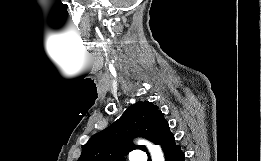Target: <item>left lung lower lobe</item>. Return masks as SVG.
I'll use <instances>...</instances> for the list:
<instances>
[{
    "label": "left lung lower lobe",
    "instance_id": "left-lung-lower-lobe-1",
    "mask_svg": "<svg viewBox=\"0 0 261 161\" xmlns=\"http://www.w3.org/2000/svg\"><path fill=\"white\" fill-rule=\"evenodd\" d=\"M160 145L165 155V161H184V153L181 151L180 145L175 144L172 133ZM148 161H151L150 157Z\"/></svg>",
    "mask_w": 261,
    "mask_h": 161
}]
</instances>
